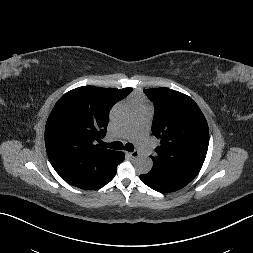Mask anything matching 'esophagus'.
Segmentation results:
<instances>
[{
	"instance_id": "esophagus-1",
	"label": "esophagus",
	"mask_w": 253,
	"mask_h": 253,
	"mask_svg": "<svg viewBox=\"0 0 253 253\" xmlns=\"http://www.w3.org/2000/svg\"><path fill=\"white\" fill-rule=\"evenodd\" d=\"M131 158H137L139 156V152L138 151H133V152H129L127 153Z\"/></svg>"
}]
</instances>
